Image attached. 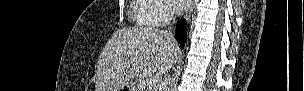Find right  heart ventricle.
<instances>
[{
	"mask_svg": "<svg viewBox=\"0 0 304 91\" xmlns=\"http://www.w3.org/2000/svg\"><path fill=\"white\" fill-rule=\"evenodd\" d=\"M154 9L148 1L135 0L131 8V14L135 22L141 26H153L155 25L150 20V15Z\"/></svg>",
	"mask_w": 304,
	"mask_h": 91,
	"instance_id": "e07e8e85",
	"label": "right heart ventricle"
}]
</instances>
